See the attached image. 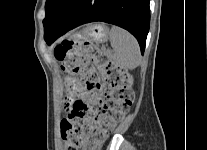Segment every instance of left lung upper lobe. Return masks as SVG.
<instances>
[{
	"mask_svg": "<svg viewBox=\"0 0 207 150\" xmlns=\"http://www.w3.org/2000/svg\"><path fill=\"white\" fill-rule=\"evenodd\" d=\"M71 0H46V16L43 20L44 33L49 31L57 22Z\"/></svg>",
	"mask_w": 207,
	"mask_h": 150,
	"instance_id": "left-lung-upper-lobe-1",
	"label": "left lung upper lobe"
}]
</instances>
